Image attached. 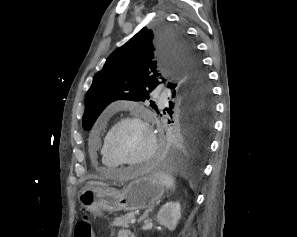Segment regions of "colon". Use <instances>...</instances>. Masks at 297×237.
<instances>
[{
    "label": "colon",
    "instance_id": "obj_1",
    "mask_svg": "<svg viewBox=\"0 0 297 237\" xmlns=\"http://www.w3.org/2000/svg\"><path fill=\"white\" fill-rule=\"evenodd\" d=\"M75 237H94L92 225L87 218H81L77 221Z\"/></svg>",
    "mask_w": 297,
    "mask_h": 237
}]
</instances>
